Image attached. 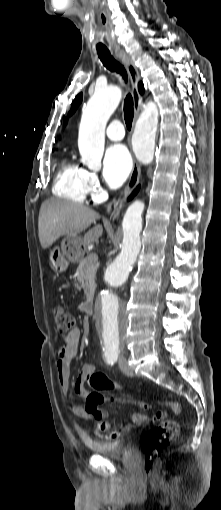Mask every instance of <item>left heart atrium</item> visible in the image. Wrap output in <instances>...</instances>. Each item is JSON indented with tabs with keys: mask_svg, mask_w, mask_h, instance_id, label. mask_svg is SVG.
I'll return each mask as SVG.
<instances>
[{
	"mask_svg": "<svg viewBox=\"0 0 221 510\" xmlns=\"http://www.w3.org/2000/svg\"><path fill=\"white\" fill-rule=\"evenodd\" d=\"M132 168L131 156L124 145L110 146L103 159V176L111 188L120 187Z\"/></svg>",
	"mask_w": 221,
	"mask_h": 510,
	"instance_id": "1",
	"label": "left heart atrium"
}]
</instances>
